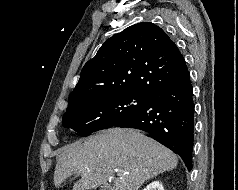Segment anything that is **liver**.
<instances>
[{
	"instance_id": "liver-1",
	"label": "liver",
	"mask_w": 238,
	"mask_h": 190,
	"mask_svg": "<svg viewBox=\"0 0 238 190\" xmlns=\"http://www.w3.org/2000/svg\"><path fill=\"white\" fill-rule=\"evenodd\" d=\"M178 164L169 149L134 129L112 128L63 148L57 157L54 184L81 176L73 190L96 189L118 170L111 190H139L145 181Z\"/></svg>"
}]
</instances>
